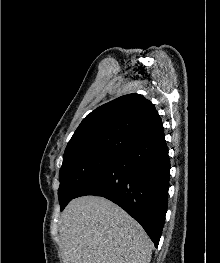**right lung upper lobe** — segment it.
<instances>
[{
  "mask_svg": "<svg viewBox=\"0 0 220 263\" xmlns=\"http://www.w3.org/2000/svg\"><path fill=\"white\" fill-rule=\"evenodd\" d=\"M162 133V121L154 105L142 95L128 94L89 113L68 142L65 153L91 148L124 150Z\"/></svg>",
  "mask_w": 220,
  "mask_h": 263,
  "instance_id": "1",
  "label": "right lung upper lobe"
}]
</instances>
